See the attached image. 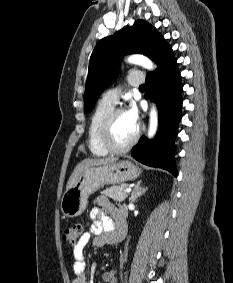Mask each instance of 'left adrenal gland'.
<instances>
[{
	"mask_svg": "<svg viewBox=\"0 0 233 283\" xmlns=\"http://www.w3.org/2000/svg\"><path fill=\"white\" fill-rule=\"evenodd\" d=\"M141 183H142V181L140 180L135 185V187H134V189L131 193V197L129 198V201L131 203L135 202L138 197L142 196L146 192L147 188H142Z\"/></svg>",
	"mask_w": 233,
	"mask_h": 283,
	"instance_id": "1",
	"label": "left adrenal gland"
}]
</instances>
